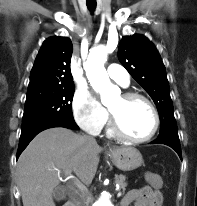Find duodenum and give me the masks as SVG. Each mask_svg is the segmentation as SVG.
<instances>
[{
    "label": "duodenum",
    "instance_id": "duodenum-1",
    "mask_svg": "<svg viewBox=\"0 0 197 206\" xmlns=\"http://www.w3.org/2000/svg\"><path fill=\"white\" fill-rule=\"evenodd\" d=\"M62 206H74V203L72 201H67Z\"/></svg>",
    "mask_w": 197,
    "mask_h": 206
}]
</instances>
